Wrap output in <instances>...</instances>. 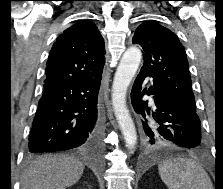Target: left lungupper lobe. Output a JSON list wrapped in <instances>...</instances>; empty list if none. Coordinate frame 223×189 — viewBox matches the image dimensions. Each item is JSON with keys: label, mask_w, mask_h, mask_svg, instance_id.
<instances>
[{"label": "left lung upper lobe", "mask_w": 223, "mask_h": 189, "mask_svg": "<svg viewBox=\"0 0 223 189\" xmlns=\"http://www.w3.org/2000/svg\"><path fill=\"white\" fill-rule=\"evenodd\" d=\"M132 42L143 48L142 68L148 70L163 84L166 92L175 102L196 111L188 61L178 37L160 24L147 21L136 29ZM143 143L149 149L168 145L161 139L149 143L145 135H143Z\"/></svg>", "instance_id": "5c2ea615"}]
</instances>
